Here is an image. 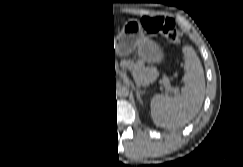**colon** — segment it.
<instances>
[{
  "instance_id": "colon-1",
  "label": "colon",
  "mask_w": 243,
  "mask_h": 167,
  "mask_svg": "<svg viewBox=\"0 0 243 167\" xmlns=\"http://www.w3.org/2000/svg\"><path fill=\"white\" fill-rule=\"evenodd\" d=\"M143 28L150 34H160L170 43H179L182 32L177 28L176 22L170 17H144L141 19Z\"/></svg>"
}]
</instances>
